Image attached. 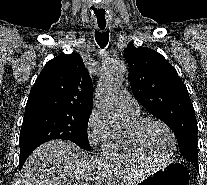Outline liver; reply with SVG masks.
Instances as JSON below:
<instances>
[{"label":"liver","instance_id":"6515ba94","mask_svg":"<svg viewBox=\"0 0 207 185\" xmlns=\"http://www.w3.org/2000/svg\"><path fill=\"white\" fill-rule=\"evenodd\" d=\"M98 163L71 141H48L37 147L21 171L22 185H76L82 179L97 183Z\"/></svg>","mask_w":207,"mask_h":185}]
</instances>
